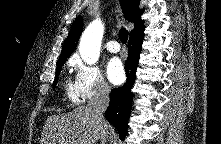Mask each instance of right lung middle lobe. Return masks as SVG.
Returning <instances> with one entry per match:
<instances>
[{"instance_id": "1", "label": "right lung middle lobe", "mask_w": 221, "mask_h": 144, "mask_svg": "<svg viewBox=\"0 0 221 144\" xmlns=\"http://www.w3.org/2000/svg\"><path fill=\"white\" fill-rule=\"evenodd\" d=\"M64 63H58L57 64V67H56V76H55V80H54V83H53V88H55L56 84H57V79H58V75L60 74V71H61V67Z\"/></svg>"}]
</instances>
